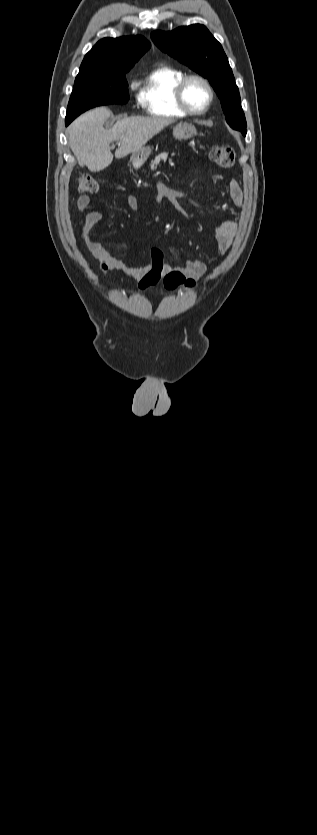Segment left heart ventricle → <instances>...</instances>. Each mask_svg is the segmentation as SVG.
<instances>
[{"label": "left heart ventricle", "instance_id": "obj_1", "mask_svg": "<svg viewBox=\"0 0 317 835\" xmlns=\"http://www.w3.org/2000/svg\"><path fill=\"white\" fill-rule=\"evenodd\" d=\"M186 100L191 108L202 109L209 100V93L204 84L199 81H191L186 88Z\"/></svg>", "mask_w": 317, "mask_h": 835}]
</instances>
